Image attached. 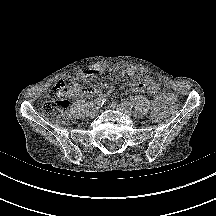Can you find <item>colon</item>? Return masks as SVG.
I'll use <instances>...</instances> for the list:
<instances>
[{"label": "colon", "mask_w": 216, "mask_h": 216, "mask_svg": "<svg viewBox=\"0 0 216 216\" xmlns=\"http://www.w3.org/2000/svg\"><path fill=\"white\" fill-rule=\"evenodd\" d=\"M77 87V84L68 83L63 79L57 81L49 91L48 99L42 105L43 112L61 124L67 123L69 121L67 113L69 97ZM169 104L170 110L177 114L180 106L178 98L174 94L170 95Z\"/></svg>", "instance_id": "5ec220e1"}]
</instances>
